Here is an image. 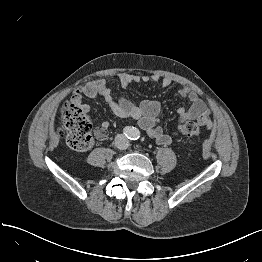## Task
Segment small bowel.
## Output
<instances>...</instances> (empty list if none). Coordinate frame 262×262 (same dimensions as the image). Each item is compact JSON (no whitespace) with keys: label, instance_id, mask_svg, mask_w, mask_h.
Wrapping results in <instances>:
<instances>
[{"label":"small bowel","instance_id":"obj_1","mask_svg":"<svg viewBox=\"0 0 262 262\" xmlns=\"http://www.w3.org/2000/svg\"><path fill=\"white\" fill-rule=\"evenodd\" d=\"M121 87L126 88L132 84L154 82L162 89H167L174 84L171 77L160 78L158 76L136 75L122 72L118 76ZM178 95L187 99V106L176 110L178 122L195 121L200 127L208 130L213 128V120L210 111L205 102L199 97L197 92L188 85H182L178 89ZM82 96L90 100L103 98L110 106L113 113L120 118L138 119L139 125L146 130L147 134L158 144H170L176 133L166 134L159 125V115L161 105L154 100H143L139 103H133L123 96L115 98L112 89L104 79H96L80 86L73 94L74 99H80ZM110 126L108 121L103 122L96 129V137L99 140L107 138V130Z\"/></svg>","mask_w":262,"mask_h":262}]
</instances>
